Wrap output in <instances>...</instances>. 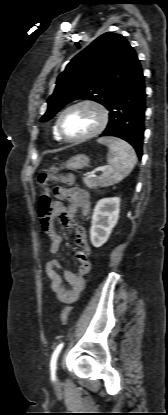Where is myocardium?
<instances>
[{"label": "myocardium", "instance_id": "f54148a6", "mask_svg": "<svg viewBox=\"0 0 168 415\" xmlns=\"http://www.w3.org/2000/svg\"><path fill=\"white\" fill-rule=\"evenodd\" d=\"M80 106H90L92 108H94L98 114H99V122L97 124V126L89 133L80 136V137H76V138H71L68 137L64 131H63V127H62V121L63 118L65 116V114L70 111L71 109L80 107ZM108 120H109V112L107 110V108L100 103L99 101L93 100V99H83V100H79L69 106H67L59 115L58 119H57V131L58 134L60 135V137L67 141V142H82V141H86L88 139H91L97 135H99L107 126L108 124Z\"/></svg>", "mask_w": 168, "mask_h": 415}]
</instances>
